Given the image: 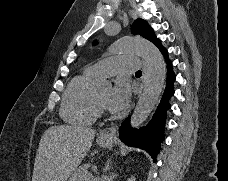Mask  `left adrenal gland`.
<instances>
[{"mask_svg":"<svg viewBox=\"0 0 228 181\" xmlns=\"http://www.w3.org/2000/svg\"><path fill=\"white\" fill-rule=\"evenodd\" d=\"M109 169H112V167H110V165L108 163L107 167H105V171H109Z\"/></svg>","mask_w":228,"mask_h":181,"instance_id":"left-adrenal-gland-1","label":"left adrenal gland"}]
</instances>
